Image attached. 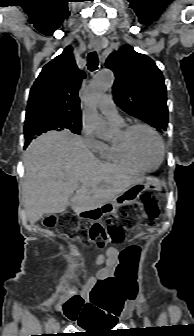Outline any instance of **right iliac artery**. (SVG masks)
Returning a JSON list of instances; mask_svg holds the SVG:
<instances>
[{"label":"right iliac artery","mask_w":194,"mask_h":336,"mask_svg":"<svg viewBox=\"0 0 194 336\" xmlns=\"http://www.w3.org/2000/svg\"><path fill=\"white\" fill-rule=\"evenodd\" d=\"M54 318L53 317H51L49 320H48V322H47V324H46V330L47 331H50L51 329H52V326H53V323H54Z\"/></svg>","instance_id":"82829eb1"}]
</instances>
